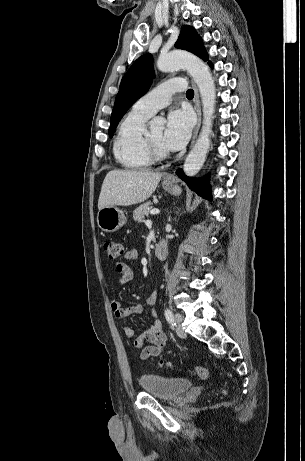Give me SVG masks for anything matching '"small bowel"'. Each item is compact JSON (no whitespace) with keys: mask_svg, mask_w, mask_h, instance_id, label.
Listing matches in <instances>:
<instances>
[{"mask_svg":"<svg viewBox=\"0 0 305 461\" xmlns=\"http://www.w3.org/2000/svg\"><path fill=\"white\" fill-rule=\"evenodd\" d=\"M138 257V251L135 248L127 250L124 253L126 260H135ZM116 271L120 274L116 281V287L128 283L133 279V271L130 266L124 262H118L115 265ZM157 300V292L153 291L147 298L146 305L149 309V314L152 319V325L142 331L134 340L133 345L135 348L142 349L140 353L141 360H147L150 357L159 356L164 350L168 338L165 334L161 322L158 319L155 304ZM111 310L114 316L118 319H124L132 315L141 314L144 310L142 304H134L129 307H123L116 299L110 302ZM124 335L126 338L131 339L135 335V330L126 326L124 328Z\"/></svg>","mask_w":305,"mask_h":461,"instance_id":"obj_1","label":"small bowel"}]
</instances>
